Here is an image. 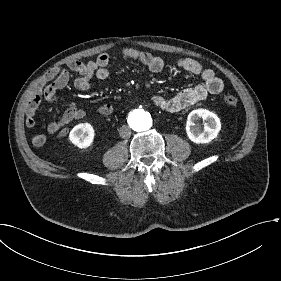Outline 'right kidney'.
<instances>
[{
	"mask_svg": "<svg viewBox=\"0 0 281 281\" xmlns=\"http://www.w3.org/2000/svg\"><path fill=\"white\" fill-rule=\"evenodd\" d=\"M94 140V129L89 123L76 125L71 131V142L79 148H88Z\"/></svg>",
	"mask_w": 281,
	"mask_h": 281,
	"instance_id": "right-kidney-1",
	"label": "right kidney"
}]
</instances>
